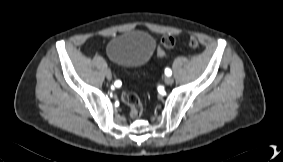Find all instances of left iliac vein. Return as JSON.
I'll use <instances>...</instances> for the list:
<instances>
[{
  "instance_id": "obj_1",
  "label": "left iliac vein",
  "mask_w": 283,
  "mask_h": 162,
  "mask_svg": "<svg viewBox=\"0 0 283 162\" xmlns=\"http://www.w3.org/2000/svg\"><path fill=\"white\" fill-rule=\"evenodd\" d=\"M164 81L167 85H171V84H173L174 79L170 76H167V77H165Z\"/></svg>"
}]
</instances>
